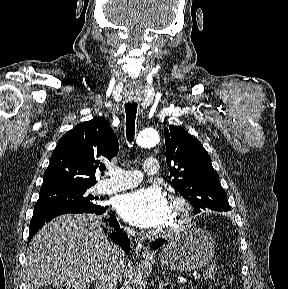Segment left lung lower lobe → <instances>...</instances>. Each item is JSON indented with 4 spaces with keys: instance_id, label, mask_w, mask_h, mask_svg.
<instances>
[{
    "instance_id": "0a47b994",
    "label": "left lung lower lobe",
    "mask_w": 288,
    "mask_h": 289,
    "mask_svg": "<svg viewBox=\"0 0 288 289\" xmlns=\"http://www.w3.org/2000/svg\"><path fill=\"white\" fill-rule=\"evenodd\" d=\"M164 242H165V239L155 240V241L152 243V248H153V249H157V248H159L161 245H163Z\"/></svg>"
}]
</instances>
